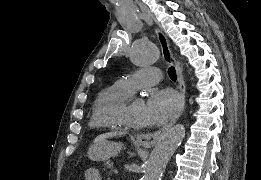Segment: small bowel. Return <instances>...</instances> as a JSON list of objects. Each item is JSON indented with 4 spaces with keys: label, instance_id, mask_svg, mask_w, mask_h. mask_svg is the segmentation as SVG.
Returning a JSON list of instances; mask_svg holds the SVG:
<instances>
[{
    "label": "small bowel",
    "instance_id": "1",
    "mask_svg": "<svg viewBox=\"0 0 261 180\" xmlns=\"http://www.w3.org/2000/svg\"><path fill=\"white\" fill-rule=\"evenodd\" d=\"M85 179L86 180H99L100 174L95 168L90 167L85 172Z\"/></svg>",
    "mask_w": 261,
    "mask_h": 180
}]
</instances>
